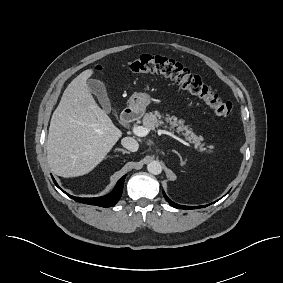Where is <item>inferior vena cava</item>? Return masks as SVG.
<instances>
[{"instance_id":"602c4592","label":"inferior vena cava","mask_w":283,"mask_h":283,"mask_svg":"<svg viewBox=\"0 0 283 283\" xmlns=\"http://www.w3.org/2000/svg\"><path fill=\"white\" fill-rule=\"evenodd\" d=\"M121 144L124 148L136 152L139 148L138 142L132 137H125L121 140Z\"/></svg>"}]
</instances>
